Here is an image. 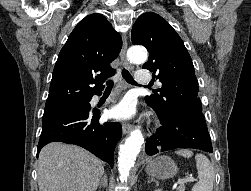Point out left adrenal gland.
<instances>
[{"instance_id": "obj_1", "label": "left adrenal gland", "mask_w": 251, "mask_h": 191, "mask_svg": "<svg viewBox=\"0 0 251 191\" xmlns=\"http://www.w3.org/2000/svg\"><path fill=\"white\" fill-rule=\"evenodd\" d=\"M150 181H155L156 185H158V181H156V179H153V177H151V179H148V183H150Z\"/></svg>"}]
</instances>
